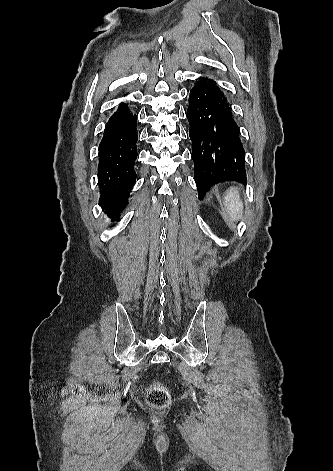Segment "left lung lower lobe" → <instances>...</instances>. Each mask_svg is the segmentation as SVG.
<instances>
[{
    "mask_svg": "<svg viewBox=\"0 0 333 471\" xmlns=\"http://www.w3.org/2000/svg\"><path fill=\"white\" fill-rule=\"evenodd\" d=\"M187 118L199 198L220 182L245 183V152L240 130L215 81L202 77L195 83L189 95Z\"/></svg>",
    "mask_w": 333,
    "mask_h": 471,
    "instance_id": "1",
    "label": "left lung lower lobe"
}]
</instances>
